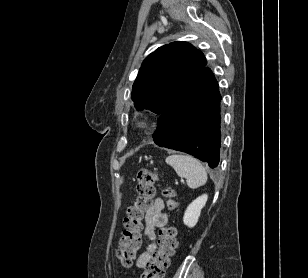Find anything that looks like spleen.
Listing matches in <instances>:
<instances>
[{"instance_id":"spleen-1","label":"spleen","mask_w":308,"mask_h":278,"mask_svg":"<svg viewBox=\"0 0 308 278\" xmlns=\"http://www.w3.org/2000/svg\"><path fill=\"white\" fill-rule=\"evenodd\" d=\"M166 163L174 168L177 175L186 178L187 185L196 189L207 181V172L199 160L183 154H172L166 158Z\"/></svg>"}]
</instances>
